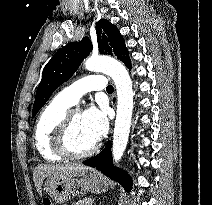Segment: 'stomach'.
<instances>
[{"label":"stomach","instance_id":"0dacf381","mask_svg":"<svg viewBox=\"0 0 212 205\" xmlns=\"http://www.w3.org/2000/svg\"><path fill=\"white\" fill-rule=\"evenodd\" d=\"M108 185V180L104 176L97 173H89L77 177L62 176L56 178L49 176L45 180L44 189L54 202L62 204L70 199L76 187L100 194L108 189Z\"/></svg>","mask_w":212,"mask_h":205}]
</instances>
